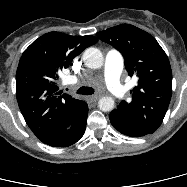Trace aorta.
<instances>
[{
  "label": "aorta",
  "instance_id": "obj_1",
  "mask_svg": "<svg viewBox=\"0 0 187 187\" xmlns=\"http://www.w3.org/2000/svg\"><path fill=\"white\" fill-rule=\"evenodd\" d=\"M83 61L90 69H99L103 66V55L101 51L94 47L87 48L83 53ZM114 99L110 96H103L98 101V107L103 112H109L114 109Z\"/></svg>",
  "mask_w": 187,
  "mask_h": 187
}]
</instances>
